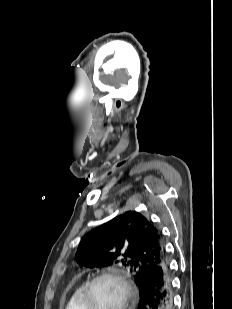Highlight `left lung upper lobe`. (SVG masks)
I'll return each instance as SVG.
<instances>
[{
  "mask_svg": "<svg viewBox=\"0 0 232 309\" xmlns=\"http://www.w3.org/2000/svg\"><path fill=\"white\" fill-rule=\"evenodd\" d=\"M165 259L161 231L135 211L119 215L87 233L76 252L77 263L88 268H130L139 290L149 271Z\"/></svg>",
  "mask_w": 232,
  "mask_h": 309,
  "instance_id": "5c2ea615",
  "label": "left lung upper lobe"
}]
</instances>
